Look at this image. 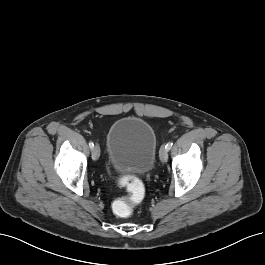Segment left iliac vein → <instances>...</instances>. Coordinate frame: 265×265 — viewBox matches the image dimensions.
Masks as SVG:
<instances>
[{
	"label": "left iliac vein",
	"mask_w": 265,
	"mask_h": 265,
	"mask_svg": "<svg viewBox=\"0 0 265 265\" xmlns=\"http://www.w3.org/2000/svg\"><path fill=\"white\" fill-rule=\"evenodd\" d=\"M159 157L160 160L165 163L168 160V150L166 148V146H162L160 151H159Z\"/></svg>",
	"instance_id": "1"
}]
</instances>
